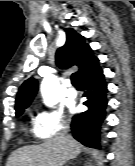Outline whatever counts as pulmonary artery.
Segmentation results:
<instances>
[{
  "instance_id": "1",
  "label": "pulmonary artery",
  "mask_w": 135,
  "mask_h": 166,
  "mask_svg": "<svg viewBox=\"0 0 135 166\" xmlns=\"http://www.w3.org/2000/svg\"><path fill=\"white\" fill-rule=\"evenodd\" d=\"M66 94L69 98H75L77 95V92L74 88L69 87Z\"/></svg>"
}]
</instances>
